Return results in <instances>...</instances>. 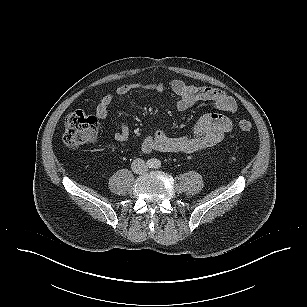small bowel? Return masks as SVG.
Masks as SVG:
<instances>
[{"label": "small bowel", "instance_id": "small-bowel-1", "mask_svg": "<svg viewBox=\"0 0 307 307\" xmlns=\"http://www.w3.org/2000/svg\"><path fill=\"white\" fill-rule=\"evenodd\" d=\"M167 89L177 96L175 105L180 111H185L198 102H210L215 109L227 113H235L238 110L237 101L226 92L210 87H195L182 80H172L167 86L163 83H125L116 88L115 94L125 96L135 91L162 94ZM112 101L111 93L101 98L96 108L99 119H106ZM232 127L233 123L228 117L219 113H207L198 120L191 134L170 137L162 131H156L153 136L143 140L141 148L146 153L152 151L195 153L218 144L224 135L232 130ZM129 136V128L124 124L114 133L115 140L120 143L127 142Z\"/></svg>", "mask_w": 307, "mask_h": 307}]
</instances>
